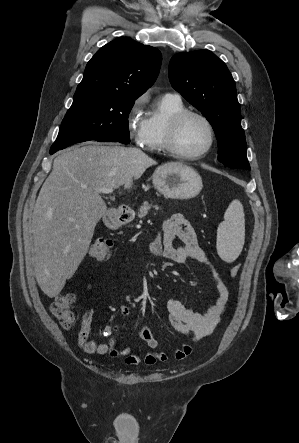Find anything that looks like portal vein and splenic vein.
Listing matches in <instances>:
<instances>
[{"label": "portal vein and splenic vein", "mask_w": 299, "mask_h": 443, "mask_svg": "<svg viewBox=\"0 0 299 443\" xmlns=\"http://www.w3.org/2000/svg\"><path fill=\"white\" fill-rule=\"evenodd\" d=\"M98 191L104 194H111L113 192V189L99 188Z\"/></svg>", "instance_id": "18ae733b"}]
</instances>
